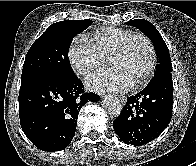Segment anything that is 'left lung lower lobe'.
<instances>
[{"label":"left lung lower lobe","instance_id":"1","mask_svg":"<svg viewBox=\"0 0 196 166\" xmlns=\"http://www.w3.org/2000/svg\"><path fill=\"white\" fill-rule=\"evenodd\" d=\"M172 74L152 78L135 96L127 98L113 127L126 144L144 145L158 137L172 117Z\"/></svg>","mask_w":196,"mask_h":166}]
</instances>
